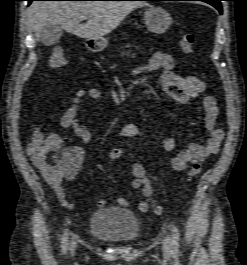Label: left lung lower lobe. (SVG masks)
<instances>
[{"mask_svg": "<svg viewBox=\"0 0 247 265\" xmlns=\"http://www.w3.org/2000/svg\"><path fill=\"white\" fill-rule=\"evenodd\" d=\"M145 1H177V0H145ZM187 1H204L206 3L211 4L214 6L220 13H222V7L220 4V1H214V0H187Z\"/></svg>", "mask_w": 247, "mask_h": 265, "instance_id": "0a47b994", "label": "left lung lower lobe"}]
</instances>
